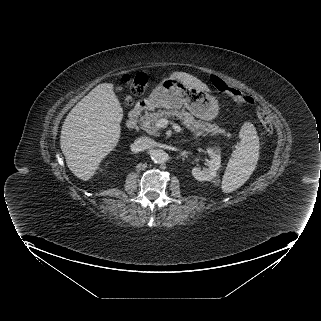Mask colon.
Segmentation results:
<instances>
[{"label": "colon", "instance_id": "5ec220e1", "mask_svg": "<svg viewBox=\"0 0 321 321\" xmlns=\"http://www.w3.org/2000/svg\"><path fill=\"white\" fill-rule=\"evenodd\" d=\"M126 82L129 85V92L127 94V98H130L132 94H140L144 91L147 79L143 73L129 74L126 76ZM211 83L216 90L226 94L236 104L255 107L254 102L250 98L244 96L241 92L230 86L220 77L216 75L211 76ZM255 108L258 120L260 121L265 133L268 135L272 134L273 125L268 114L259 107Z\"/></svg>", "mask_w": 321, "mask_h": 321}]
</instances>
